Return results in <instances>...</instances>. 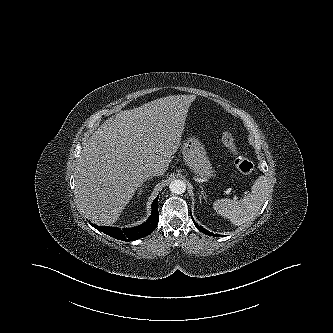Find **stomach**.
<instances>
[{"label":"stomach","mask_w":333,"mask_h":333,"mask_svg":"<svg viewBox=\"0 0 333 333\" xmlns=\"http://www.w3.org/2000/svg\"><path fill=\"white\" fill-rule=\"evenodd\" d=\"M182 153L185 163L197 177L206 179L212 176V166L200 139L187 136L183 141Z\"/></svg>","instance_id":"0dacf381"}]
</instances>
